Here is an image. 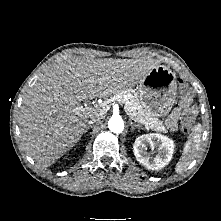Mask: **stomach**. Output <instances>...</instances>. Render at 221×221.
<instances>
[{
  "label": "stomach",
  "mask_w": 221,
  "mask_h": 221,
  "mask_svg": "<svg viewBox=\"0 0 221 221\" xmlns=\"http://www.w3.org/2000/svg\"><path fill=\"white\" fill-rule=\"evenodd\" d=\"M137 92L145 112L156 117L164 116L171 111L177 96L175 73L158 65L139 81Z\"/></svg>",
  "instance_id": "1"
}]
</instances>
